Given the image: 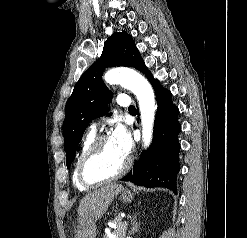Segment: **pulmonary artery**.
<instances>
[{
  "label": "pulmonary artery",
  "mask_w": 247,
  "mask_h": 238,
  "mask_svg": "<svg viewBox=\"0 0 247 238\" xmlns=\"http://www.w3.org/2000/svg\"><path fill=\"white\" fill-rule=\"evenodd\" d=\"M117 104L121 107H129L131 105V101L127 95L121 94L117 97ZM97 126H98L97 122H92L90 124L91 131L95 132L97 129Z\"/></svg>",
  "instance_id": "e3ab8cb5"
}]
</instances>
